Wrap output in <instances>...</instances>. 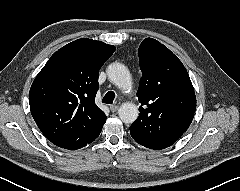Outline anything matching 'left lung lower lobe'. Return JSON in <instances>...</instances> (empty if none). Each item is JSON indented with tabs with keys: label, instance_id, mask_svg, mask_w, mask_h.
<instances>
[{
	"label": "left lung lower lobe",
	"instance_id": "0a47b994",
	"mask_svg": "<svg viewBox=\"0 0 240 191\" xmlns=\"http://www.w3.org/2000/svg\"><path fill=\"white\" fill-rule=\"evenodd\" d=\"M136 128H137V126H132V127L130 126V133H131L132 138L137 143H139L147 148L157 149V150L164 149L166 147L171 146L175 142V141H171L168 139L161 140V138H163V137L159 136L160 130L158 132L157 129H155V128H153V130H152L151 138H149L148 136H143V135L139 134L140 132Z\"/></svg>",
	"mask_w": 240,
	"mask_h": 191
}]
</instances>
